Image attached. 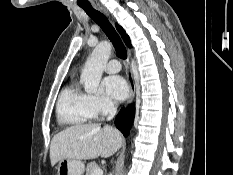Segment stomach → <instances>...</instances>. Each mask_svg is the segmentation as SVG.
<instances>
[{"label":"stomach","mask_w":233,"mask_h":175,"mask_svg":"<svg viewBox=\"0 0 233 175\" xmlns=\"http://www.w3.org/2000/svg\"><path fill=\"white\" fill-rule=\"evenodd\" d=\"M84 163L81 160L63 159L58 162V175H83Z\"/></svg>","instance_id":"0dacf381"}]
</instances>
